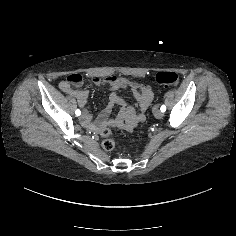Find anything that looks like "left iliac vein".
Returning a JSON list of instances; mask_svg holds the SVG:
<instances>
[{
	"mask_svg": "<svg viewBox=\"0 0 236 236\" xmlns=\"http://www.w3.org/2000/svg\"><path fill=\"white\" fill-rule=\"evenodd\" d=\"M153 114L156 118H161L163 116V112L159 110L158 108H154Z\"/></svg>",
	"mask_w": 236,
	"mask_h": 236,
	"instance_id": "obj_1",
	"label": "left iliac vein"
}]
</instances>
